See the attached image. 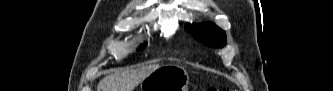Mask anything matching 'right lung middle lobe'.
<instances>
[{
    "instance_id": "obj_1",
    "label": "right lung middle lobe",
    "mask_w": 333,
    "mask_h": 91,
    "mask_svg": "<svg viewBox=\"0 0 333 91\" xmlns=\"http://www.w3.org/2000/svg\"><path fill=\"white\" fill-rule=\"evenodd\" d=\"M145 45H146V44H145ZM145 45L140 46L139 49H140V50L143 49V48L145 47Z\"/></svg>"
}]
</instances>
